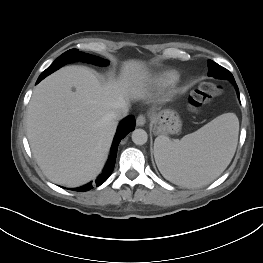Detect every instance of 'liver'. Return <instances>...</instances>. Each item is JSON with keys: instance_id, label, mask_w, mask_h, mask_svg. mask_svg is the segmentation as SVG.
<instances>
[{"instance_id": "obj_1", "label": "liver", "mask_w": 263, "mask_h": 263, "mask_svg": "<svg viewBox=\"0 0 263 263\" xmlns=\"http://www.w3.org/2000/svg\"><path fill=\"white\" fill-rule=\"evenodd\" d=\"M146 80L143 63L131 60L124 63L119 80L106 84L83 66L61 68L40 82L28 105L26 125L44 175L68 187L95 179L118 125L111 112L123 102L142 98Z\"/></svg>"}]
</instances>
